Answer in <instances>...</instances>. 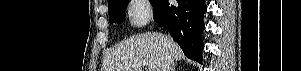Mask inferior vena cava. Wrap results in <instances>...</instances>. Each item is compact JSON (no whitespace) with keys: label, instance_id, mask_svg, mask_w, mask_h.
Returning <instances> with one entry per match:
<instances>
[{"label":"inferior vena cava","instance_id":"1","mask_svg":"<svg viewBox=\"0 0 301 71\" xmlns=\"http://www.w3.org/2000/svg\"><path fill=\"white\" fill-rule=\"evenodd\" d=\"M168 40L170 43V37H168ZM172 64H173V59L169 54H167L163 62L162 71H171Z\"/></svg>","mask_w":301,"mask_h":71}]
</instances>
